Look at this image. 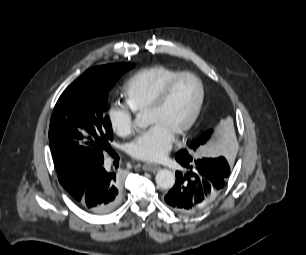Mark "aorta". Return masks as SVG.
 Here are the masks:
<instances>
[{"label": "aorta", "instance_id": "1", "mask_svg": "<svg viewBox=\"0 0 306 255\" xmlns=\"http://www.w3.org/2000/svg\"><path fill=\"white\" fill-rule=\"evenodd\" d=\"M134 124L138 127H143L146 125L144 119L142 118L141 115H137ZM156 184L161 188V189H171L174 186L175 183V176L174 174L168 170V169H160L155 177Z\"/></svg>", "mask_w": 306, "mask_h": 255}]
</instances>
